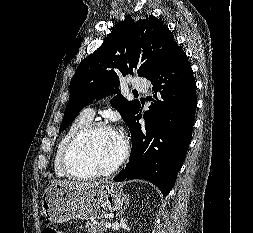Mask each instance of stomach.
Returning a JSON list of instances; mask_svg holds the SVG:
<instances>
[{
  "instance_id": "obj_1",
  "label": "stomach",
  "mask_w": 253,
  "mask_h": 233,
  "mask_svg": "<svg viewBox=\"0 0 253 233\" xmlns=\"http://www.w3.org/2000/svg\"><path fill=\"white\" fill-rule=\"evenodd\" d=\"M126 203V195L114 184L75 189L51 184L43 192L42 214L51 222L62 223L72 219H98L106 212H114Z\"/></svg>"
}]
</instances>
